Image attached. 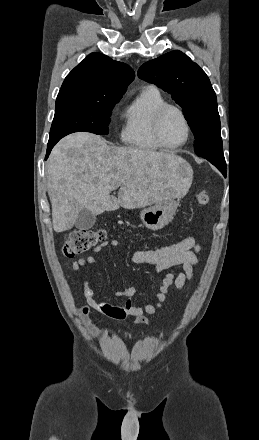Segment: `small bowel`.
Here are the masks:
<instances>
[{
  "instance_id": "small-bowel-1",
  "label": "small bowel",
  "mask_w": 259,
  "mask_h": 440,
  "mask_svg": "<svg viewBox=\"0 0 259 440\" xmlns=\"http://www.w3.org/2000/svg\"><path fill=\"white\" fill-rule=\"evenodd\" d=\"M119 244L120 242L118 240L105 241L94 249V253L100 252L106 246L115 247ZM199 252L200 244L193 236H187L174 244L156 250L136 251L132 256L133 262L140 265L150 266L155 274H159L177 266L180 267L179 272L176 274L172 272L166 273L162 280V284L159 287L158 293L156 294V302L154 304L136 306L131 300V298L137 295V290L134 287L115 292V296L128 298L122 306L98 301L94 298V291L86 280L83 282V295L86 298L87 305H84L79 309L80 316L86 321L90 309L92 308L110 318L124 320L129 316H133L138 323L145 324L147 322L146 315L155 314L165 303L166 294L170 286L173 285L178 290H183L187 283L192 280L194 267L199 261ZM94 263L95 257L91 254L87 257L71 262L68 265L67 270L70 272H79L85 266L93 265ZM89 333L101 337H109L111 335L109 332H101L93 328L89 329Z\"/></svg>"
}]
</instances>
